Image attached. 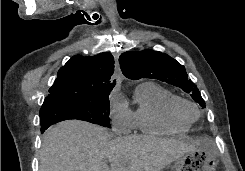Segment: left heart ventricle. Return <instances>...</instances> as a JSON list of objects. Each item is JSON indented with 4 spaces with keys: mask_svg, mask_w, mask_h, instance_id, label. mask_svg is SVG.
Masks as SVG:
<instances>
[{
    "mask_svg": "<svg viewBox=\"0 0 245 171\" xmlns=\"http://www.w3.org/2000/svg\"><path fill=\"white\" fill-rule=\"evenodd\" d=\"M185 112H186L187 116L190 118L196 117V112L194 111V109H192L190 107L186 108Z\"/></svg>",
    "mask_w": 245,
    "mask_h": 171,
    "instance_id": "1",
    "label": "left heart ventricle"
}]
</instances>
